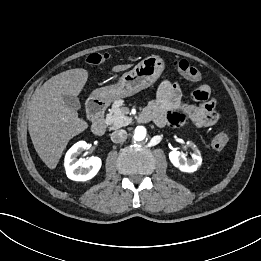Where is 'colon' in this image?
<instances>
[{
    "label": "colon",
    "mask_w": 261,
    "mask_h": 261,
    "mask_svg": "<svg viewBox=\"0 0 261 261\" xmlns=\"http://www.w3.org/2000/svg\"><path fill=\"white\" fill-rule=\"evenodd\" d=\"M110 55L106 53H91L86 57V62L90 65H99L109 59ZM174 67L184 77L192 81H199L202 78L201 72L192 66L187 60L177 59L173 62ZM229 142V136L225 133L217 134L211 142L215 150H223Z\"/></svg>",
    "instance_id": "1"
}]
</instances>
